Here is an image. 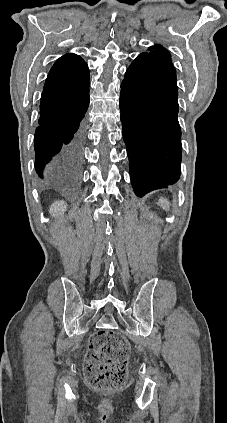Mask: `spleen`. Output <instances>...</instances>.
Segmentation results:
<instances>
[{"label": "spleen", "mask_w": 227, "mask_h": 423, "mask_svg": "<svg viewBox=\"0 0 227 423\" xmlns=\"http://www.w3.org/2000/svg\"><path fill=\"white\" fill-rule=\"evenodd\" d=\"M158 204L159 206H161V208H163V210H170V202H168V200H166V198H160V200H158Z\"/></svg>", "instance_id": "3e777b00"}]
</instances>
